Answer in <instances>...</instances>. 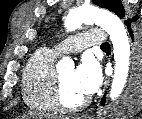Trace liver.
Returning a JSON list of instances; mask_svg holds the SVG:
<instances>
[{"label": "liver", "mask_w": 142, "mask_h": 119, "mask_svg": "<svg viewBox=\"0 0 142 119\" xmlns=\"http://www.w3.org/2000/svg\"><path fill=\"white\" fill-rule=\"evenodd\" d=\"M24 119H68L67 117L64 116H53V115H23Z\"/></svg>", "instance_id": "6515ba94"}]
</instances>
